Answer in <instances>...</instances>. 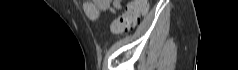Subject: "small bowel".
Listing matches in <instances>:
<instances>
[{
    "label": "small bowel",
    "instance_id": "obj_1",
    "mask_svg": "<svg viewBox=\"0 0 238 70\" xmlns=\"http://www.w3.org/2000/svg\"><path fill=\"white\" fill-rule=\"evenodd\" d=\"M89 7H92L96 11V16H91L89 14ZM121 7V1L120 0H93L89 2H85L83 4V10L86 14V16L91 19L95 20L98 18L100 11H116L120 9Z\"/></svg>",
    "mask_w": 238,
    "mask_h": 70
}]
</instances>
